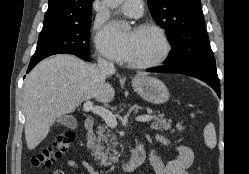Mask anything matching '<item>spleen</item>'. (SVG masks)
<instances>
[{
	"mask_svg": "<svg viewBox=\"0 0 249 174\" xmlns=\"http://www.w3.org/2000/svg\"><path fill=\"white\" fill-rule=\"evenodd\" d=\"M205 144L209 148H215L217 144L216 132L213 123H208L203 132Z\"/></svg>",
	"mask_w": 249,
	"mask_h": 174,
	"instance_id": "spleen-1",
	"label": "spleen"
}]
</instances>
